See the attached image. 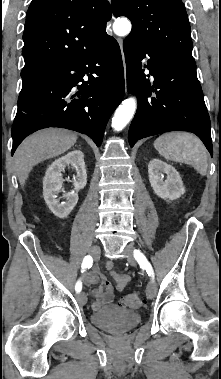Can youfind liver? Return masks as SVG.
Listing matches in <instances>:
<instances>
[{
	"label": "liver",
	"mask_w": 221,
	"mask_h": 379,
	"mask_svg": "<svg viewBox=\"0 0 221 379\" xmlns=\"http://www.w3.org/2000/svg\"><path fill=\"white\" fill-rule=\"evenodd\" d=\"M77 141V135L69 130L48 128L27 137L17 148L14 161L21 186L38 163L59 156Z\"/></svg>",
	"instance_id": "obj_1"
}]
</instances>
